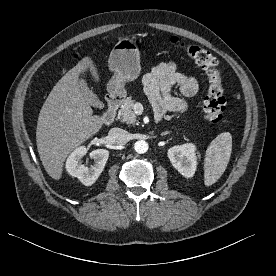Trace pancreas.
Segmentation results:
<instances>
[{"label": "pancreas", "mask_w": 276, "mask_h": 276, "mask_svg": "<svg viewBox=\"0 0 276 276\" xmlns=\"http://www.w3.org/2000/svg\"><path fill=\"white\" fill-rule=\"evenodd\" d=\"M135 100L131 97H127L123 100L122 107L118 112V116L122 122L127 124H134L137 121V116L133 111Z\"/></svg>", "instance_id": "obj_1"}]
</instances>
